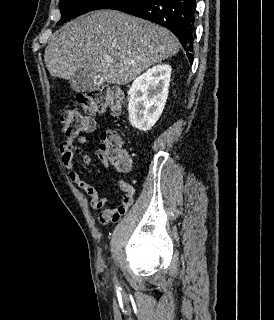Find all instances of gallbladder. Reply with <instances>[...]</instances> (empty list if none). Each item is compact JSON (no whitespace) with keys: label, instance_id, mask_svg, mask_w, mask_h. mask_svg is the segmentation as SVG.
Listing matches in <instances>:
<instances>
[{"label":"gallbladder","instance_id":"obj_1","mask_svg":"<svg viewBox=\"0 0 274 320\" xmlns=\"http://www.w3.org/2000/svg\"><path fill=\"white\" fill-rule=\"evenodd\" d=\"M100 77L98 68H73L71 88L75 92L100 90V85H105V78Z\"/></svg>","mask_w":274,"mask_h":320}]
</instances>
